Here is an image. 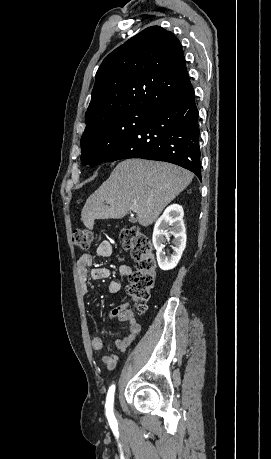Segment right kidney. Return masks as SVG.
<instances>
[{
    "label": "right kidney",
    "instance_id": "right-kidney-1",
    "mask_svg": "<svg viewBox=\"0 0 271 459\" xmlns=\"http://www.w3.org/2000/svg\"><path fill=\"white\" fill-rule=\"evenodd\" d=\"M183 216L182 206L172 204V206L166 208L154 226L152 241L155 249H157V261L161 269H173V267H176L186 247V228ZM169 233L174 235L172 243H174L175 247H173V253L166 255L163 247H165L166 239L170 237Z\"/></svg>",
    "mask_w": 271,
    "mask_h": 459
}]
</instances>
